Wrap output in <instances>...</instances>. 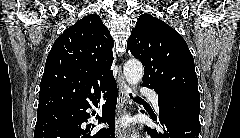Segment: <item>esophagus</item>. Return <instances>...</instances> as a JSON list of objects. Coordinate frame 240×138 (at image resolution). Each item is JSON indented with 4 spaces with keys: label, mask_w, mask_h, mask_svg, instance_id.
Wrapping results in <instances>:
<instances>
[{
    "label": "esophagus",
    "mask_w": 240,
    "mask_h": 138,
    "mask_svg": "<svg viewBox=\"0 0 240 138\" xmlns=\"http://www.w3.org/2000/svg\"><path fill=\"white\" fill-rule=\"evenodd\" d=\"M118 85H119V97H118V114L115 121V134L118 138H127V133L122 128L121 118L128 110V91L127 84L122 74V65H119L118 69Z\"/></svg>",
    "instance_id": "34e87169"
}]
</instances>
